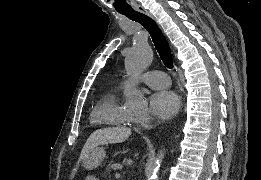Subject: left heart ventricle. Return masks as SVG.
<instances>
[{"instance_id":"left-heart-ventricle-1","label":"left heart ventricle","mask_w":261,"mask_h":180,"mask_svg":"<svg viewBox=\"0 0 261 180\" xmlns=\"http://www.w3.org/2000/svg\"><path fill=\"white\" fill-rule=\"evenodd\" d=\"M124 114H125L126 118L131 119V120H136L141 115L140 113H133L132 110H126V111H124Z\"/></svg>"}]
</instances>
